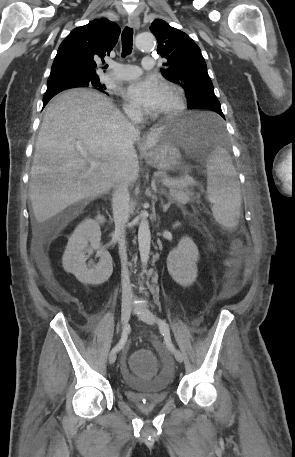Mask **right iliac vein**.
Instances as JSON below:
<instances>
[{
	"label": "right iliac vein",
	"instance_id": "right-iliac-vein-1",
	"mask_svg": "<svg viewBox=\"0 0 295 457\" xmlns=\"http://www.w3.org/2000/svg\"><path fill=\"white\" fill-rule=\"evenodd\" d=\"M130 312H131V303L129 301H126L122 305V310H121V325L122 328L124 329L125 326L128 323L129 317H130ZM117 356V351L112 350L109 354V363L113 364L116 360Z\"/></svg>",
	"mask_w": 295,
	"mask_h": 457
}]
</instances>
